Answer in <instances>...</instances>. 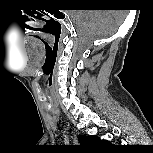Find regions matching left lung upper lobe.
Masks as SVG:
<instances>
[{"label": "left lung upper lobe", "instance_id": "5c2ea615", "mask_svg": "<svg viewBox=\"0 0 153 153\" xmlns=\"http://www.w3.org/2000/svg\"><path fill=\"white\" fill-rule=\"evenodd\" d=\"M80 145L88 148H101L105 146H109L110 143L108 141L101 140L97 136H83L81 135L79 138Z\"/></svg>", "mask_w": 153, "mask_h": 153}]
</instances>
